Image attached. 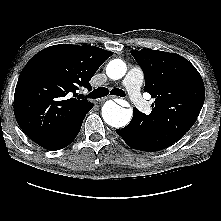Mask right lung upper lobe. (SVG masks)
Instances as JSON below:
<instances>
[{
	"mask_svg": "<svg viewBox=\"0 0 221 221\" xmlns=\"http://www.w3.org/2000/svg\"><path fill=\"white\" fill-rule=\"evenodd\" d=\"M112 54L96 46L59 44L32 57L14 94L15 117L25 134L45 147L82 122L93 105L76 98V90L91 89L90 79Z\"/></svg>",
	"mask_w": 221,
	"mask_h": 221,
	"instance_id": "obj_1",
	"label": "right lung upper lobe"
}]
</instances>
